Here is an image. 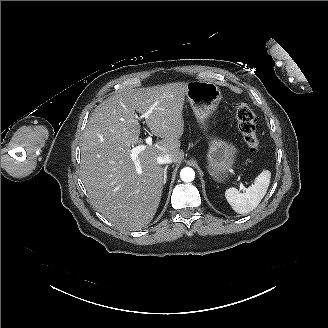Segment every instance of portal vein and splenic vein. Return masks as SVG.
Here are the masks:
<instances>
[{
    "label": "portal vein and splenic vein",
    "instance_id": "18ae733b",
    "mask_svg": "<svg viewBox=\"0 0 328 328\" xmlns=\"http://www.w3.org/2000/svg\"><path fill=\"white\" fill-rule=\"evenodd\" d=\"M152 111H153V108L149 109L148 112L145 113L144 117H148L152 113ZM145 142H146L147 145L151 146L152 145V137H150V136L147 137ZM146 147H147L146 145L141 144V145H138V146L132 148L131 151H130L131 152V154H130L131 159L134 162V165L136 167V172L138 174H142V169L140 167V162L137 160V157H138V154L140 152H142L146 149ZM245 189H246L245 186L241 183L240 184V190L244 191Z\"/></svg>",
    "mask_w": 328,
    "mask_h": 328
}]
</instances>
